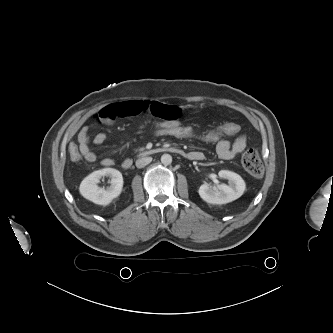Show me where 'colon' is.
Returning <instances> with one entry per match:
<instances>
[{
	"label": "colon",
	"instance_id": "1",
	"mask_svg": "<svg viewBox=\"0 0 333 333\" xmlns=\"http://www.w3.org/2000/svg\"><path fill=\"white\" fill-rule=\"evenodd\" d=\"M150 132L156 137H170L176 139H198L206 142H218L229 136H236L240 126L232 121L218 123L210 129L183 124L181 122H157L150 127ZM69 156L72 161L81 160L79 148L75 144L69 146ZM244 169L252 176L260 178L263 175V164L258 151L248 148L242 156Z\"/></svg>",
	"mask_w": 333,
	"mask_h": 333
}]
</instances>
